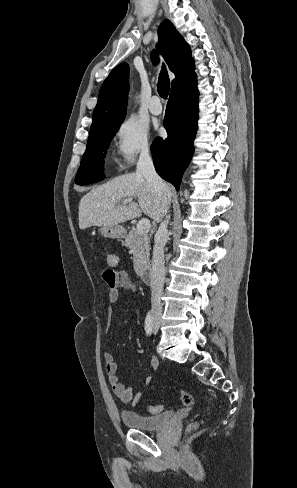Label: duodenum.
<instances>
[{"label":"duodenum","instance_id":"duodenum-1","mask_svg":"<svg viewBox=\"0 0 297 488\" xmlns=\"http://www.w3.org/2000/svg\"><path fill=\"white\" fill-rule=\"evenodd\" d=\"M138 274L142 281L146 284H151L153 281V272L150 266H143L139 269Z\"/></svg>","mask_w":297,"mask_h":488}]
</instances>
